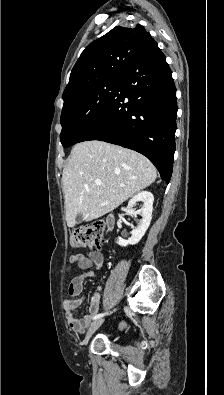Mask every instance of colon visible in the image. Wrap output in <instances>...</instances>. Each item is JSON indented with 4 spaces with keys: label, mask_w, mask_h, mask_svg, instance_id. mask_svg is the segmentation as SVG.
<instances>
[{
    "label": "colon",
    "mask_w": 224,
    "mask_h": 395,
    "mask_svg": "<svg viewBox=\"0 0 224 395\" xmlns=\"http://www.w3.org/2000/svg\"><path fill=\"white\" fill-rule=\"evenodd\" d=\"M103 231L104 226L102 223L93 226L77 228L70 232L69 243L74 248L85 246L99 248L104 241Z\"/></svg>",
    "instance_id": "colon-1"
}]
</instances>
